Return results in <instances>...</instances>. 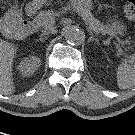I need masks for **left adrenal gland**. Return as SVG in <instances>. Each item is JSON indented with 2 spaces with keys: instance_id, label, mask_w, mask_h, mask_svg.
Here are the masks:
<instances>
[{
  "instance_id": "obj_1",
  "label": "left adrenal gland",
  "mask_w": 135,
  "mask_h": 135,
  "mask_svg": "<svg viewBox=\"0 0 135 135\" xmlns=\"http://www.w3.org/2000/svg\"><path fill=\"white\" fill-rule=\"evenodd\" d=\"M89 33H90V37H89V39H88V42L90 43V42H92V41H96L97 42V39L96 38H94V36H93V33L89 30Z\"/></svg>"
}]
</instances>
